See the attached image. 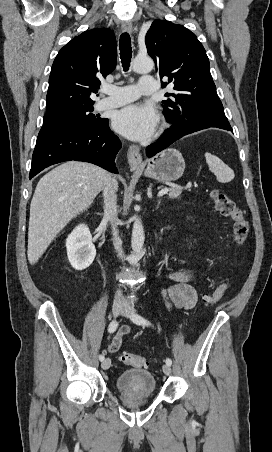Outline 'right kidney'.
Returning <instances> with one entry per match:
<instances>
[{
    "instance_id": "ca27d5eb",
    "label": "right kidney",
    "mask_w": 272,
    "mask_h": 452,
    "mask_svg": "<svg viewBox=\"0 0 272 452\" xmlns=\"http://www.w3.org/2000/svg\"><path fill=\"white\" fill-rule=\"evenodd\" d=\"M67 256L75 270L89 267L96 256L92 235L85 224L78 225L66 240Z\"/></svg>"
}]
</instances>
